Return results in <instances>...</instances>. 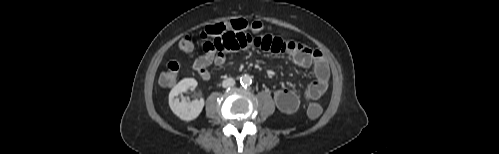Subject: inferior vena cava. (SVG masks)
I'll return each instance as SVG.
<instances>
[{
  "label": "inferior vena cava",
  "instance_id": "1",
  "mask_svg": "<svg viewBox=\"0 0 499 154\" xmlns=\"http://www.w3.org/2000/svg\"><path fill=\"white\" fill-rule=\"evenodd\" d=\"M235 85V80L233 78H228L223 81L222 86L224 88L234 86Z\"/></svg>",
  "mask_w": 499,
  "mask_h": 154
}]
</instances>
